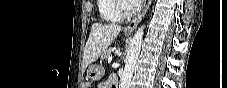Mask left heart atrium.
Here are the masks:
<instances>
[{
	"mask_svg": "<svg viewBox=\"0 0 227 88\" xmlns=\"http://www.w3.org/2000/svg\"><path fill=\"white\" fill-rule=\"evenodd\" d=\"M142 3H143L142 0H133V4H134L136 7L140 6Z\"/></svg>",
	"mask_w": 227,
	"mask_h": 88,
	"instance_id": "39dd6f15",
	"label": "left heart atrium"
}]
</instances>
